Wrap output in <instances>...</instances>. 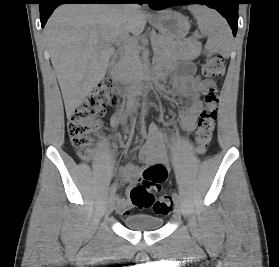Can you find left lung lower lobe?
<instances>
[{"label":"left lung lower lobe","instance_id":"obj_1","mask_svg":"<svg viewBox=\"0 0 279 267\" xmlns=\"http://www.w3.org/2000/svg\"><path fill=\"white\" fill-rule=\"evenodd\" d=\"M151 8L164 9L179 4H205L218 10L229 23L233 35L236 36L238 27L239 0H148Z\"/></svg>","mask_w":279,"mask_h":267}]
</instances>
